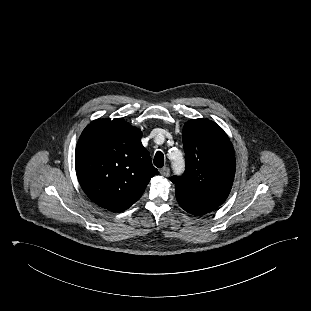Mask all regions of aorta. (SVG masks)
Segmentation results:
<instances>
[{
	"label": "aorta",
	"mask_w": 311,
	"mask_h": 311,
	"mask_svg": "<svg viewBox=\"0 0 311 311\" xmlns=\"http://www.w3.org/2000/svg\"><path fill=\"white\" fill-rule=\"evenodd\" d=\"M183 157L180 151H175V159L173 160V169L176 173L183 171Z\"/></svg>",
	"instance_id": "762f6f07"
}]
</instances>
